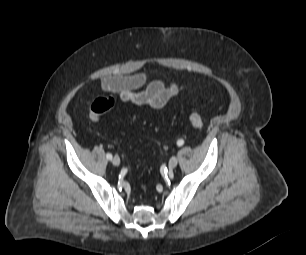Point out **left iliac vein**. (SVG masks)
Returning <instances> with one entry per match:
<instances>
[{"label":"left iliac vein","mask_w":306,"mask_h":255,"mask_svg":"<svg viewBox=\"0 0 306 255\" xmlns=\"http://www.w3.org/2000/svg\"><path fill=\"white\" fill-rule=\"evenodd\" d=\"M178 164V158L176 156H172L169 160L168 166L169 169H174Z\"/></svg>","instance_id":"4c4485c4"}]
</instances>
